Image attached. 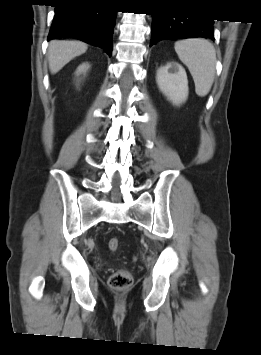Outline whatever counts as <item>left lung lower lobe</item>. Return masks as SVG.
Instances as JSON below:
<instances>
[{
	"label": "left lung lower lobe",
	"instance_id": "1",
	"mask_svg": "<svg viewBox=\"0 0 261 355\" xmlns=\"http://www.w3.org/2000/svg\"><path fill=\"white\" fill-rule=\"evenodd\" d=\"M151 44L163 39L209 38L214 39L213 20L152 14Z\"/></svg>",
	"mask_w": 261,
	"mask_h": 355
}]
</instances>
